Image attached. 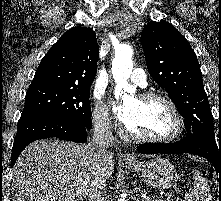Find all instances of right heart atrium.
I'll return each instance as SVG.
<instances>
[{
	"label": "right heart atrium",
	"instance_id": "right-heart-atrium-1",
	"mask_svg": "<svg viewBox=\"0 0 221 201\" xmlns=\"http://www.w3.org/2000/svg\"><path fill=\"white\" fill-rule=\"evenodd\" d=\"M92 121L94 126L100 130H108L111 126L110 115L108 113L106 106L103 104L99 96L96 97L92 113Z\"/></svg>",
	"mask_w": 221,
	"mask_h": 201
}]
</instances>
